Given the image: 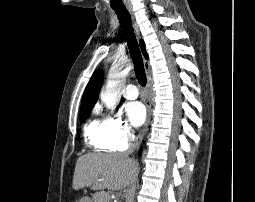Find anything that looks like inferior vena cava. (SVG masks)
Wrapping results in <instances>:
<instances>
[{"mask_svg": "<svg viewBox=\"0 0 255 202\" xmlns=\"http://www.w3.org/2000/svg\"><path fill=\"white\" fill-rule=\"evenodd\" d=\"M134 148H135V144L132 143L131 148L125 154L128 156L130 153H132L134 151Z\"/></svg>", "mask_w": 255, "mask_h": 202, "instance_id": "602c4592", "label": "inferior vena cava"}]
</instances>
